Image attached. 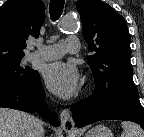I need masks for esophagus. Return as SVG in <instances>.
Masks as SVG:
<instances>
[{"label":"esophagus","instance_id":"34e87169","mask_svg":"<svg viewBox=\"0 0 144 137\" xmlns=\"http://www.w3.org/2000/svg\"><path fill=\"white\" fill-rule=\"evenodd\" d=\"M61 127L65 132H73L75 123L68 109H63L60 113Z\"/></svg>","mask_w":144,"mask_h":137}]
</instances>
